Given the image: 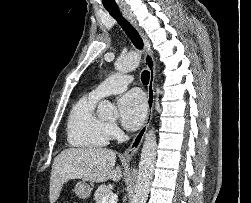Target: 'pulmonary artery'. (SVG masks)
I'll use <instances>...</instances> for the list:
<instances>
[{
  "mask_svg": "<svg viewBox=\"0 0 251 203\" xmlns=\"http://www.w3.org/2000/svg\"><path fill=\"white\" fill-rule=\"evenodd\" d=\"M132 79V76L126 74L119 73L112 75L93 89L90 94L100 99L110 94L120 93L127 89Z\"/></svg>",
  "mask_w": 251,
  "mask_h": 203,
  "instance_id": "obj_1",
  "label": "pulmonary artery"
}]
</instances>
